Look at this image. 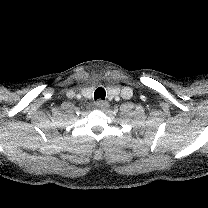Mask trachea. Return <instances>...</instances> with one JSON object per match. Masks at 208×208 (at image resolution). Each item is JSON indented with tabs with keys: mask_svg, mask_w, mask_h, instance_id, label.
<instances>
[{
	"mask_svg": "<svg viewBox=\"0 0 208 208\" xmlns=\"http://www.w3.org/2000/svg\"><path fill=\"white\" fill-rule=\"evenodd\" d=\"M105 97H106V91L104 88L99 87L95 90V92H94V99L95 100H97V99L103 100V99H105Z\"/></svg>",
	"mask_w": 208,
	"mask_h": 208,
	"instance_id": "3493384b",
	"label": "trachea"
}]
</instances>
